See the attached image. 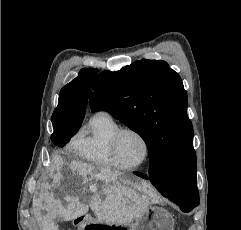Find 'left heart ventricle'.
Segmentation results:
<instances>
[{"label": "left heart ventricle", "mask_w": 241, "mask_h": 230, "mask_svg": "<svg viewBox=\"0 0 241 230\" xmlns=\"http://www.w3.org/2000/svg\"><path fill=\"white\" fill-rule=\"evenodd\" d=\"M145 154L141 139L133 133H124L118 143L117 155L120 162L128 165L139 163Z\"/></svg>", "instance_id": "left-heart-ventricle-1"}]
</instances>
